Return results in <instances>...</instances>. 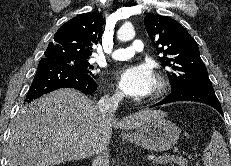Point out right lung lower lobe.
Instances as JSON below:
<instances>
[{"mask_svg": "<svg viewBox=\"0 0 231 166\" xmlns=\"http://www.w3.org/2000/svg\"><path fill=\"white\" fill-rule=\"evenodd\" d=\"M75 88L84 94H92L97 89L94 76L82 73L74 67L48 58H42L25 103L59 88Z\"/></svg>", "mask_w": 231, "mask_h": 166, "instance_id": "1", "label": "right lung lower lobe"}]
</instances>
